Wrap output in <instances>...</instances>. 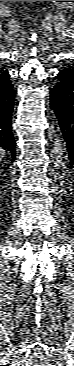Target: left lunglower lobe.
I'll list each match as a JSON object with an SVG mask.
<instances>
[{
  "instance_id": "1",
  "label": "left lung lower lobe",
  "mask_w": 74,
  "mask_h": 366,
  "mask_svg": "<svg viewBox=\"0 0 74 366\" xmlns=\"http://www.w3.org/2000/svg\"><path fill=\"white\" fill-rule=\"evenodd\" d=\"M57 83L50 91V106L66 141L69 166L74 167V66L61 70Z\"/></svg>"
}]
</instances>
